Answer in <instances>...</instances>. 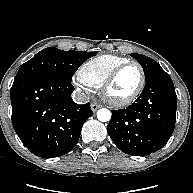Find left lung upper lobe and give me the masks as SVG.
<instances>
[{
  "label": "left lung upper lobe",
  "instance_id": "left-lung-upper-lobe-1",
  "mask_svg": "<svg viewBox=\"0 0 193 193\" xmlns=\"http://www.w3.org/2000/svg\"><path fill=\"white\" fill-rule=\"evenodd\" d=\"M130 55L134 57L142 66L145 74V80H148L157 71L162 70L161 66L155 60L145 55L136 53H132Z\"/></svg>",
  "mask_w": 193,
  "mask_h": 193
}]
</instances>
